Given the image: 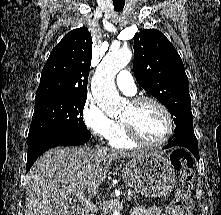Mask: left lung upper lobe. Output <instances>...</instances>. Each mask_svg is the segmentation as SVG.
<instances>
[{
	"mask_svg": "<svg viewBox=\"0 0 221 215\" xmlns=\"http://www.w3.org/2000/svg\"><path fill=\"white\" fill-rule=\"evenodd\" d=\"M134 53L137 82L169 110L175 134H194L188 78L174 46L160 31L144 29L135 35Z\"/></svg>",
	"mask_w": 221,
	"mask_h": 215,
	"instance_id": "obj_1",
	"label": "left lung upper lobe"
}]
</instances>
